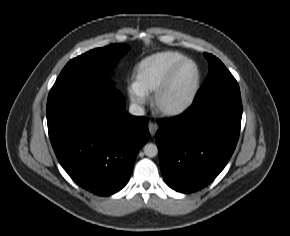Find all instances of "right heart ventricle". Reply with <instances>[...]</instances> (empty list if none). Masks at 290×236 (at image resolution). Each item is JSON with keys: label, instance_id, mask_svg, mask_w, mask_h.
<instances>
[{"label": "right heart ventricle", "instance_id": "obj_1", "mask_svg": "<svg viewBox=\"0 0 290 236\" xmlns=\"http://www.w3.org/2000/svg\"><path fill=\"white\" fill-rule=\"evenodd\" d=\"M185 56L175 51L159 52L143 60L136 70L135 82L145 92L155 91L171 69Z\"/></svg>", "mask_w": 290, "mask_h": 236}]
</instances>
